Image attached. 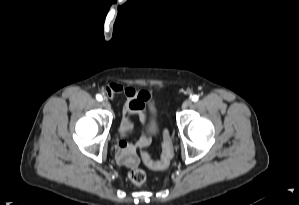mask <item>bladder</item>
I'll return each instance as SVG.
<instances>
[{
  "mask_svg": "<svg viewBox=\"0 0 299 205\" xmlns=\"http://www.w3.org/2000/svg\"><path fill=\"white\" fill-rule=\"evenodd\" d=\"M161 129V115L156 105L151 107L149 116L144 122L142 132L147 133L151 138L156 137Z\"/></svg>",
  "mask_w": 299,
  "mask_h": 205,
  "instance_id": "1",
  "label": "bladder"
}]
</instances>
